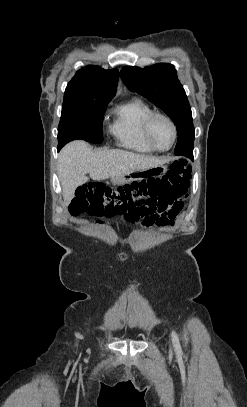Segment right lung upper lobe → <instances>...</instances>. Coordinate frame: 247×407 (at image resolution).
I'll return each mask as SVG.
<instances>
[{
	"mask_svg": "<svg viewBox=\"0 0 247 407\" xmlns=\"http://www.w3.org/2000/svg\"><path fill=\"white\" fill-rule=\"evenodd\" d=\"M119 71L87 66L68 83L63 103L111 101L116 93Z\"/></svg>",
	"mask_w": 247,
	"mask_h": 407,
	"instance_id": "cb5924a9",
	"label": "right lung upper lobe"
}]
</instances>
